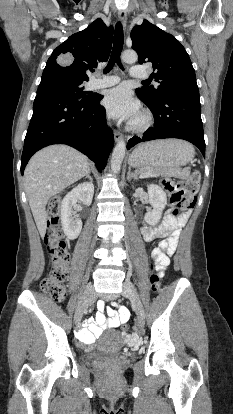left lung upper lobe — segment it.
<instances>
[{"mask_svg":"<svg viewBox=\"0 0 233 414\" xmlns=\"http://www.w3.org/2000/svg\"><path fill=\"white\" fill-rule=\"evenodd\" d=\"M131 39L139 63H152L154 73L151 77L160 83L157 88L150 86L136 89L148 105L156 106L172 94L198 92L189 55L174 36L144 20L133 28Z\"/></svg>","mask_w":233,"mask_h":414,"instance_id":"left-lung-upper-lobe-1","label":"left lung upper lobe"}]
</instances>
